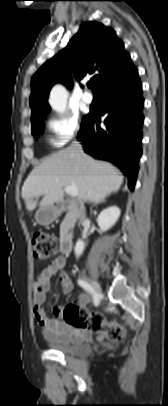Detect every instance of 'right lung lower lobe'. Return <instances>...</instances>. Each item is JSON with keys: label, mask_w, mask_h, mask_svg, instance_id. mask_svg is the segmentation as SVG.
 Masks as SVG:
<instances>
[{"label": "right lung lower lobe", "mask_w": 168, "mask_h": 406, "mask_svg": "<svg viewBox=\"0 0 168 406\" xmlns=\"http://www.w3.org/2000/svg\"><path fill=\"white\" fill-rule=\"evenodd\" d=\"M96 93L102 101V109L90 111L82 122L78 139L85 153L119 167L133 190L142 155L144 120L142 85L137 69L134 65L129 67ZM101 115H106L104 126H100Z\"/></svg>", "instance_id": "98d812e1"}]
</instances>
